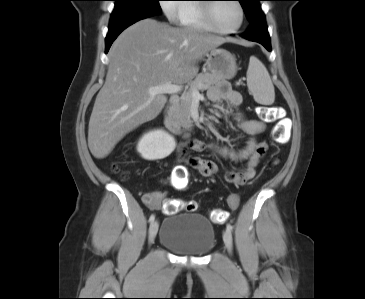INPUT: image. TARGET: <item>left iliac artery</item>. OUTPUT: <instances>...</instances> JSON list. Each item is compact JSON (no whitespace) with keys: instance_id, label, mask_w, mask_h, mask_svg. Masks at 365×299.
Returning <instances> with one entry per match:
<instances>
[{"instance_id":"1","label":"left iliac artery","mask_w":365,"mask_h":299,"mask_svg":"<svg viewBox=\"0 0 365 299\" xmlns=\"http://www.w3.org/2000/svg\"><path fill=\"white\" fill-rule=\"evenodd\" d=\"M227 229L231 232L233 230V226L231 224H227Z\"/></svg>"}]
</instances>
